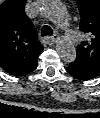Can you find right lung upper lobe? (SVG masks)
<instances>
[{
    "instance_id": "1",
    "label": "right lung upper lobe",
    "mask_w": 100,
    "mask_h": 118,
    "mask_svg": "<svg viewBox=\"0 0 100 118\" xmlns=\"http://www.w3.org/2000/svg\"><path fill=\"white\" fill-rule=\"evenodd\" d=\"M26 1L5 0L0 5V66L17 77L36 68L43 50L34 25L24 13Z\"/></svg>"
}]
</instances>
